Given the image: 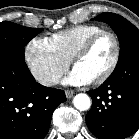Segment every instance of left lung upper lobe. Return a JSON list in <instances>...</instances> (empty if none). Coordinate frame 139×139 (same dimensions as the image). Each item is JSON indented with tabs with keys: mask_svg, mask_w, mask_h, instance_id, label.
<instances>
[{
	"mask_svg": "<svg viewBox=\"0 0 139 139\" xmlns=\"http://www.w3.org/2000/svg\"><path fill=\"white\" fill-rule=\"evenodd\" d=\"M94 19L107 23L117 34L120 42V55L117 65L131 54L139 52V30L128 20L114 13H102Z\"/></svg>",
	"mask_w": 139,
	"mask_h": 139,
	"instance_id": "5c2ea615",
	"label": "left lung upper lobe"
}]
</instances>
